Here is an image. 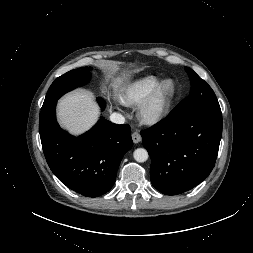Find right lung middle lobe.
<instances>
[{
  "mask_svg": "<svg viewBox=\"0 0 253 253\" xmlns=\"http://www.w3.org/2000/svg\"><path fill=\"white\" fill-rule=\"evenodd\" d=\"M90 77L91 73L87 67L71 70L58 77L51 84L42 108H46L47 106L57 102V100L66 92L87 84Z\"/></svg>",
  "mask_w": 253,
  "mask_h": 253,
  "instance_id": "dd1d6c3e",
  "label": "right lung middle lobe"
}]
</instances>
